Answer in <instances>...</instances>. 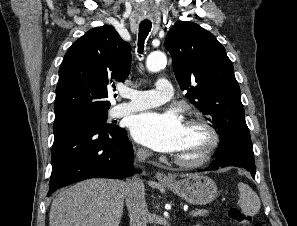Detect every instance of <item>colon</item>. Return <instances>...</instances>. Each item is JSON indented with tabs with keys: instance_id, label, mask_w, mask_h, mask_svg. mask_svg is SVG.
Wrapping results in <instances>:
<instances>
[{
	"instance_id": "1",
	"label": "colon",
	"mask_w": 297,
	"mask_h": 226,
	"mask_svg": "<svg viewBox=\"0 0 297 226\" xmlns=\"http://www.w3.org/2000/svg\"><path fill=\"white\" fill-rule=\"evenodd\" d=\"M228 216L241 226H261L260 224H253L251 216L240 210L238 207L231 206L228 209Z\"/></svg>"
}]
</instances>
